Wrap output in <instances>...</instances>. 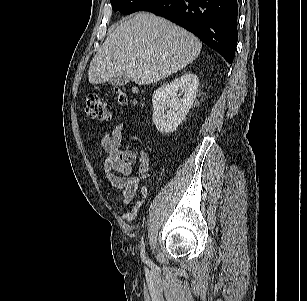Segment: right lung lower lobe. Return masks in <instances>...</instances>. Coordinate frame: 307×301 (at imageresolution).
<instances>
[{"mask_svg": "<svg viewBox=\"0 0 307 301\" xmlns=\"http://www.w3.org/2000/svg\"><path fill=\"white\" fill-rule=\"evenodd\" d=\"M149 11L186 28L231 64L237 46V0H156Z\"/></svg>", "mask_w": 307, "mask_h": 301, "instance_id": "right-lung-lower-lobe-1", "label": "right lung lower lobe"}]
</instances>
